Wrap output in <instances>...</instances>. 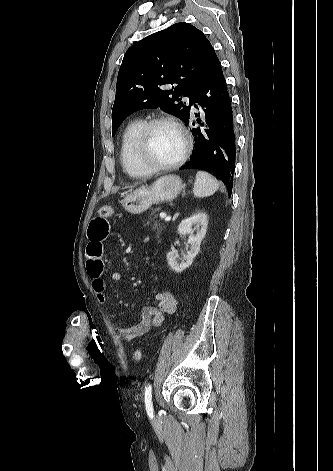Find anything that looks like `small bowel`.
<instances>
[{
	"label": "small bowel",
	"instance_id": "c3829d8e",
	"mask_svg": "<svg viewBox=\"0 0 333 471\" xmlns=\"http://www.w3.org/2000/svg\"><path fill=\"white\" fill-rule=\"evenodd\" d=\"M108 217L98 215L94 217L88 227V245L86 249V269L92 278V287L96 299L99 303L107 302L106 281L104 276L103 263V242L110 234ZM109 279L112 282H119L122 279L121 273L114 271L110 273ZM177 308V299L170 291H161L155 295V304L146 305L142 309L141 321L132 327H116V333L129 343L144 336L151 328L160 326L166 315H171Z\"/></svg>",
	"mask_w": 333,
	"mask_h": 471
}]
</instances>
